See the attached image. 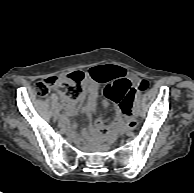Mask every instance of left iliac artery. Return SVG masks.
Instances as JSON below:
<instances>
[{
  "mask_svg": "<svg viewBox=\"0 0 194 193\" xmlns=\"http://www.w3.org/2000/svg\"><path fill=\"white\" fill-rule=\"evenodd\" d=\"M139 95H140V92H138V93L136 94V97L139 96Z\"/></svg>",
  "mask_w": 194,
  "mask_h": 193,
  "instance_id": "obj_1",
  "label": "left iliac artery"
}]
</instances>
